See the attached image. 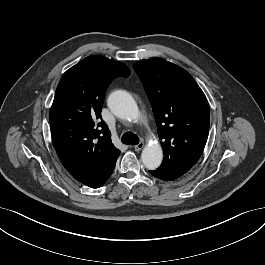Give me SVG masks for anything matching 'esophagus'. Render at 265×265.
I'll return each mask as SVG.
<instances>
[{"instance_id": "esophagus-1", "label": "esophagus", "mask_w": 265, "mask_h": 265, "mask_svg": "<svg viewBox=\"0 0 265 265\" xmlns=\"http://www.w3.org/2000/svg\"><path fill=\"white\" fill-rule=\"evenodd\" d=\"M143 147H144V143L143 142H140L139 144H137V145L134 146V150L135 151H140V150L143 149Z\"/></svg>"}]
</instances>
